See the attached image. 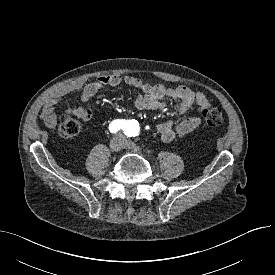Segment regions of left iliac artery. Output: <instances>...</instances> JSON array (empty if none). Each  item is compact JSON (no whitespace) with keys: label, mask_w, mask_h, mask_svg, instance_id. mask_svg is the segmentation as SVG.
<instances>
[{"label":"left iliac artery","mask_w":275,"mask_h":275,"mask_svg":"<svg viewBox=\"0 0 275 275\" xmlns=\"http://www.w3.org/2000/svg\"><path fill=\"white\" fill-rule=\"evenodd\" d=\"M136 132H137L136 124L133 121H128L126 123L125 134H127L130 137V136H134Z\"/></svg>","instance_id":"left-iliac-artery-1"}]
</instances>
